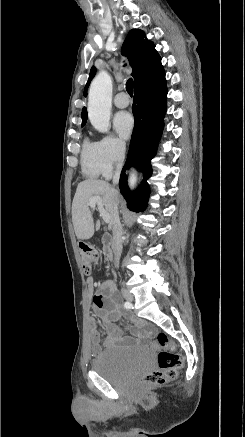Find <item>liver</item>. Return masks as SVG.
I'll return each mask as SVG.
<instances>
[{
	"mask_svg": "<svg viewBox=\"0 0 245 437\" xmlns=\"http://www.w3.org/2000/svg\"><path fill=\"white\" fill-rule=\"evenodd\" d=\"M102 198L104 209L110 216L109 228L113 227L114 201L119 199V193L108 182L88 179L78 184L72 203V222L75 234L80 240L90 239L95 230H99L100 221L94 224L89 200L92 197Z\"/></svg>",
	"mask_w": 245,
	"mask_h": 437,
	"instance_id": "6515ba94",
	"label": "liver"
}]
</instances>
